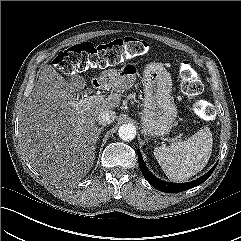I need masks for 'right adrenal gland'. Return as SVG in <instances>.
Here are the masks:
<instances>
[{
    "label": "right adrenal gland",
    "mask_w": 241,
    "mask_h": 241,
    "mask_svg": "<svg viewBox=\"0 0 241 241\" xmlns=\"http://www.w3.org/2000/svg\"><path fill=\"white\" fill-rule=\"evenodd\" d=\"M103 126L102 127H100V128H98L97 129V135H96V140L98 141L99 140V137H100V134H101V131L103 130Z\"/></svg>",
    "instance_id": "obj_1"
}]
</instances>
